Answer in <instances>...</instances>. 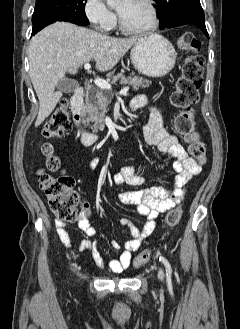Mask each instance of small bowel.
Listing matches in <instances>:
<instances>
[{
	"label": "small bowel",
	"instance_id": "1",
	"mask_svg": "<svg viewBox=\"0 0 240 329\" xmlns=\"http://www.w3.org/2000/svg\"><path fill=\"white\" fill-rule=\"evenodd\" d=\"M143 107L150 109L149 121L143 127V139L147 146L156 148L161 155H170L175 158L173 168L177 172L170 186H158L138 191H127L119 194V201L125 206L136 207L137 212L146 217V222L141 229L130 219L123 218L120 223L127 228L132 238L125 242L124 250L118 258L112 259L108 267L114 273H121L131 263L132 252L136 251L146 237L153 231L155 221L160 213L166 212L178 206L185 197L186 187L194 175L201 171L200 165L184 150L178 137L168 131L164 126L163 112L161 108L149 103L145 95H138L131 102V108L136 110ZM99 160L94 158L90 166L96 168ZM115 185L142 186L146 183L144 176L140 175L135 165H126L113 176ZM91 207L84 203L81 207L78 225L87 235L94 236L97 233L90 223ZM55 227L60 241L66 248H71V238L66 230V224L61 221L55 222ZM111 246L120 250L121 245L113 240ZM77 251L87 250L93 261L100 268L105 267L104 260L98 249L96 241L82 240L76 248Z\"/></svg>",
	"mask_w": 240,
	"mask_h": 329
}]
</instances>
